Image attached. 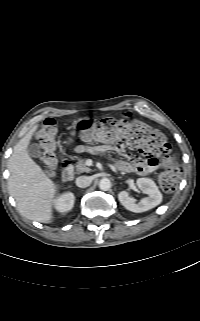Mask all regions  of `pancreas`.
<instances>
[{
    "label": "pancreas",
    "mask_w": 200,
    "mask_h": 321,
    "mask_svg": "<svg viewBox=\"0 0 200 321\" xmlns=\"http://www.w3.org/2000/svg\"><path fill=\"white\" fill-rule=\"evenodd\" d=\"M76 171L77 173H83V172H90V168L86 165L85 159H79L77 165H76Z\"/></svg>",
    "instance_id": "1"
}]
</instances>
